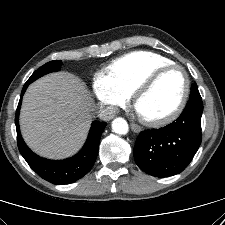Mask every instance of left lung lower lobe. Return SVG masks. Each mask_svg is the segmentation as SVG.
Listing matches in <instances>:
<instances>
[{"label":"left lung lower lobe","instance_id":"1","mask_svg":"<svg viewBox=\"0 0 225 225\" xmlns=\"http://www.w3.org/2000/svg\"><path fill=\"white\" fill-rule=\"evenodd\" d=\"M202 112L201 96L190 97L176 121L160 129L141 132L134 146L136 164L156 177L182 172L201 144Z\"/></svg>","mask_w":225,"mask_h":225}]
</instances>
